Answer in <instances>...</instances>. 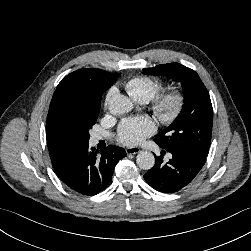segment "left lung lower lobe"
<instances>
[{
    "instance_id": "1",
    "label": "left lung lower lobe",
    "mask_w": 251,
    "mask_h": 251,
    "mask_svg": "<svg viewBox=\"0 0 251 251\" xmlns=\"http://www.w3.org/2000/svg\"><path fill=\"white\" fill-rule=\"evenodd\" d=\"M167 151L172 154V158L164 164L163 156L156 157L155 165L144 175V179L159 192L175 193L192 182L202 169L206 155L189 147Z\"/></svg>"
}]
</instances>
